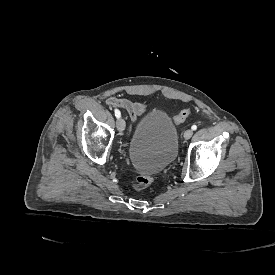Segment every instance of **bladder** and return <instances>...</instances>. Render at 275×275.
<instances>
[{
    "label": "bladder",
    "mask_w": 275,
    "mask_h": 275,
    "mask_svg": "<svg viewBox=\"0 0 275 275\" xmlns=\"http://www.w3.org/2000/svg\"><path fill=\"white\" fill-rule=\"evenodd\" d=\"M177 129L171 116L160 105L143 115L132 132L130 159L143 174L159 173L178 153Z\"/></svg>",
    "instance_id": "bladder-1"
}]
</instances>
